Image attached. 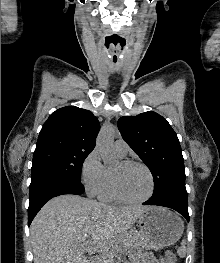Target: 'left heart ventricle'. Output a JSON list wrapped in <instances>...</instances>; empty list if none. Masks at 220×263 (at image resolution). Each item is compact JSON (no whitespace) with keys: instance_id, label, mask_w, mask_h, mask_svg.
Instances as JSON below:
<instances>
[{"instance_id":"obj_1","label":"left heart ventricle","mask_w":220,"mask_h":263,"mask_svg":"<svg viewBox=\"0 0 220 263\" xmlns=\"http://www.w3.org/2000/svg\"><path fill=\"white\" fill-rule=\"evenodd\" d=\"M113 171L118 177L120 190L125 197L140 199L149 193L150 179L141 166H123L119 163L113 168Z\"/></svg>"}]
</instances>
